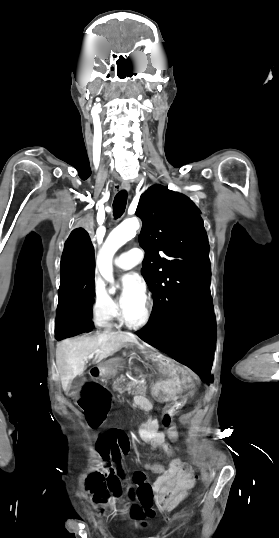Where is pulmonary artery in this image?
<instances>
[{
  "instance_id": "pulmonary-artery-1",
  "label": "pulmonary artery",
  "mask_w": 279,
  "mask_h": 538,
  "mask_svg": "<svg viewBox=\"0 0 279 538\" xmlns=\"http://www.w3.org/2000/svg\"><path fill=\"white\" fill-rule=\"evenodd\" d=\"M130 252H124L122 254H119L114 259V265L122 270H129L133 268L137 260H132L130 257Z\"/></svg>"
}]
</instances>
